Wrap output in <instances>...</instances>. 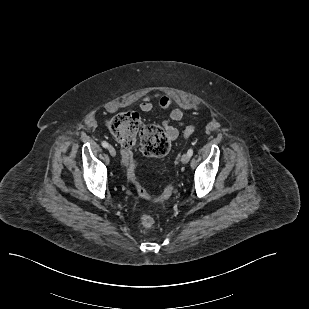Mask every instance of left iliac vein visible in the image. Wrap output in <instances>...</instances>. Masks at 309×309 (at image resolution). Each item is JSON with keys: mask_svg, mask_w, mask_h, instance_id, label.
<instances>
[{"mask_svg": "<svg viewBox=\"0 0 309 309\" xmlns=\"http://www.w3.org/2000/svg\"><path fill=\"white\" fill-rule=\"evenodd\" d=\"M189 160H190V156L188 155V153H185V154L182 155V157H181V162H182L183 164L188 163Z\"/></svg>", "mask_w": 309, "mask_h": 309, "instance_id": "4c4485c4", "label": "left iliac vein"}]
</instances>
